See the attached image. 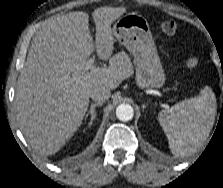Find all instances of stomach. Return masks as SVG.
I'll list each match as a JSON object with an SVG mask.
<instances>
[{"label":"stomach","mask_w":223,"mask_h":188,"mask_svg":"<svg viewBox=\"0 0 223 188\" xmlns=\"http://www.w3.org/2000/svg\"><path fill=\"white\" fill-rule=\"evenodd\" d=\"M112 31L135 58L137 85L142 89L162 87L165 74L146 19L135 13L126 14L115 21Z\"/></svg>","instance_id":"1"}]
</instances>
